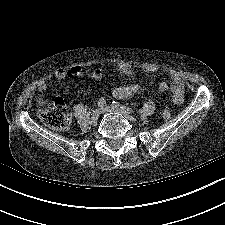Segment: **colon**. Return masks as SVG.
Returning <instances> with one entry per match:
<instances>
[{
  "instance_id": "5ec220e1",
  "label": "colon",
  "mask_w": 225,
  "mask_h": 225,
  "mask_svg": "<svg viewBox=\"0 0 225 225\" xmlns=\"http://www.w3.org/2000/svg\"><path fill=\"white\" fill-rule=\"evenodd\" d=\"M171 111L164 108L162 111L163 119L170 118ZM40 118L49 127L57 130H65L69 126V115L64 106L63 99H57L52 105L40 110Z\"/></svg>"
}]
</instances>
